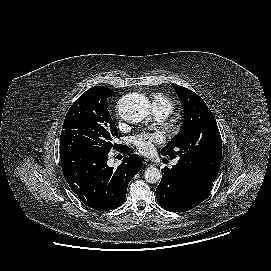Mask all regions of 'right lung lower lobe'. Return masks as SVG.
I'll return each mask as SVG.
<instances>
[{"label":"right lung lower lobe","mask_w":271,"mask_h":271,"mask_svg":"<svg viewBox=\"0 0 271 271\" xmlns=\"http://www.w3.org/2000/svg\"><path fill=\"white\" fill-rule=\"evenodd\" d=\"M119 150L127 153L129 148L121 145ZM108 153L70 145L60 147L62 170L70 188L85 205L99 211L122 205L128 183L142 168L136 154L125 157L115 169L109 167Z\"/></svg>","instance_id":"obj_1"}]
</instances>
